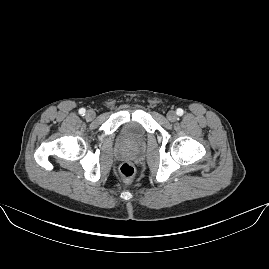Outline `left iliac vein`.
I'll return each mask as SVG.
<instances>
[{"instance_id":"obj_1","label":"left iliac vein","mask_w":269,"mask_h":269,"mask_svg":"<svg viewBox=\"0 0 269 269\" xmlns=\"http://www.w3.org/2000/svg\"><path fill=\"white\" fill-rule=\"evenodd\" d=\"M167 119H168L169 121H171V122L176 121V120H177V115H176V113H175L174 111H169V112L167 113Z\"/></svg>"}]
</instances>
